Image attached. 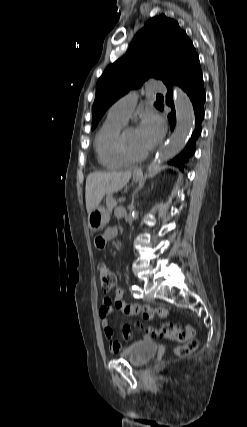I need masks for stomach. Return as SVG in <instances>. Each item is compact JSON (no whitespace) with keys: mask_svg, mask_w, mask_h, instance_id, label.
I'll use <instances>...</instances> for the list:
<instances>
[{"mask_svg":"<svg viewBox=\"0 0 247 427\" xmlns=\"http://www.w3.org/2000/svg\"><path fill=\"white\" fill-rule=\"evenodd\" d=\"M135 180L138 181L139 178L135 177ZM109 218V211L106 210L104 207L98 206L88 215V225L92 231H100L105 227V225L109 221Z\"/></svg>","mask_w":247,"mask_h":427,"instance_id":"1","label":"stomach"}]
</instances>
